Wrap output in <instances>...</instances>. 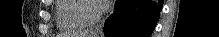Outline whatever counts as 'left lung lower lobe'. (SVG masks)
<instances>
[{"mask_svg":"<svg viewBox=\"0 0 219 37\" xmlns=\"http://www.w3.org/2000/svg\"><path fill=\"white\" fill-rule=\"evenodd\" d=\"M163 0H116L105 21L106 37H149L159 19Z\"/></svg>","mask_w":219,"mask_h":37,"instance_id":"0a47b994","label":"left lung lower lobe"}]
</instances>
